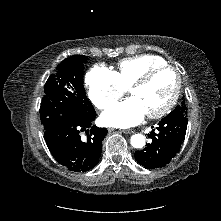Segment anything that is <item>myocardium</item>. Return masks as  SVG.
I'll return each mask as SVG.
<instances>
[{
    "label": "myocardium",
    "instance_id": "f54148a6",
    "mask_svg": "<svg viewBox=\"0 0 221 221\" xmlns=\"http://www.w3.org/2000/svg\"><path fill=\"white\" fill-rule=\"evenodd\" d=\"M163 70H171L174 72L175 76H176V86L174 89V92L170 98V100L168 101V103L160 110L156 111V112H152V113H147V116L150 119H158L161 118L165 115H167L176 105L180 93H181V88H182V77L180 72L177 70L176 67L169 65V64H163V65H158L155 67H152L150 69H148L143 75H141L130 87H129V91L130 93L137 88L143 87L145 86L147 83H149V81L159 72L163 71Z\"/></svg>",
    "mask_w": 221,
    "mask_h": 221
}]
</instances>
